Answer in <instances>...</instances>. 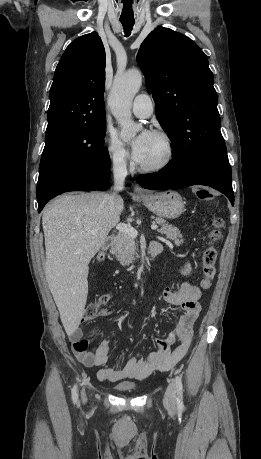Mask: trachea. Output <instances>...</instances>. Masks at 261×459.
<instances>
[{"mask_svg": "<svg viewBox=\"0 0 261 459\" xmlns=\"http://www.w3.org/2000/svg\"><path fill=\"white\" fill-rule=\"evenodd\" d=\"M121 23L123 25L125 35L129 36L134 26L135 21L134 20H121Z\"/></svg>", "mask_w": 261, "mask_h": 459, "instance_id": "3493384b", "label": "trachea"}]
</instances>
